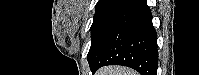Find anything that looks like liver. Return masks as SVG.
<instances>
[{"label":"liver","mask_w":199,"mask_h":75,"mask_svg":"<svg viewBox=\"0 0 199 75\" xmlns=\"http://www.w3.org/2000/svg\"><path fill=\"white\" fill-rule=\"evenodd\" d=\"M96 75H138V73L125 67L107 66L99 69Z\"/></svg>","instance_id":"1"}]
</instances>
